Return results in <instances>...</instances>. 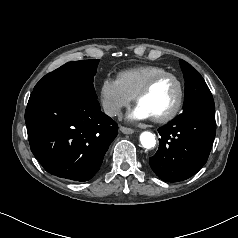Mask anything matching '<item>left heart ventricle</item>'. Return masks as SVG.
<instances>
[{"instance_id":"obj_1","label":"left heart ventricle","mask_w":238,"mask_h":238,"mask_svg":"<svg viewBox=\"0 0 238 238\" xmlns=\"http://www.w3.org/2000/svg\"><path fill=\"white\" fill-rule=\"evenodd\" d=\"M178 96L176 82L169 77L159 80L148 94L138 103L151 118L168 113L174 106Z\"/></svg>"}]
</instances>
